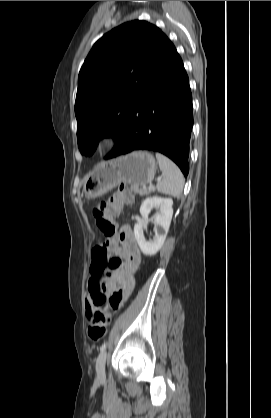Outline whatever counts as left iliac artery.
Listing matches in <instances>:
<instances>
[{"label": "left iliac artery", "instance_id": "obj_1", "mask_svg": "<svg viewBox=\"0 0 271 418\" xmlns=\"http://www.w3.org/2000/svg\"><path fill=\"white\" fill-rule=\"evenodd\" d=\"M107 343H103L102 346L100 347V351H104L106 349Z\"/></svg>", "mask_w": 271, "mask_h": 418}]
</instances>
